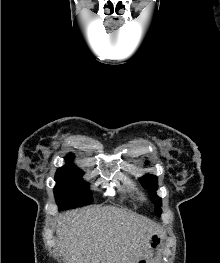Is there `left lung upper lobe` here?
Masks as SVG:
<instances>
[{"mask_svg":"<svg viewBox=\"0 0 220 263\" xmlns=\"http://www.w3.org/2000/svg\"><path fill=\"white\" fill-rule=\"evenodd\" d=\"M141 184L148 190H152L151 198L155 204L156 213H161V199L156 195L155 191L157 189V177L154 175H145L140 179Z\"/></svg>","mask_w":220,"mask_h":263,"instance_id":"obj_1","label":"left lung upper lobe"}]
</instances>
